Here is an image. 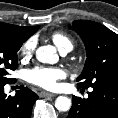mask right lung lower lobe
Here are the masks:
<instances>
[{
    "mask_svg": "<svg viewBox=\"0 0 118 118\" xmlns=\"http://www.w3.org/2000/svg\"><path fill=\"white\" fill-rule=\"evenodd\" d=\"M4 86L0 84V118H30L38 95L22 85L15 96H8Z\"/></svg>",
    "mask_w": 118,
    "mask_h": 118,
    "instance_id": "98d812e1",
    "label": "right lung lower lobe"
}]
</instances>
